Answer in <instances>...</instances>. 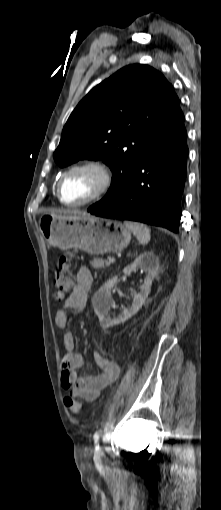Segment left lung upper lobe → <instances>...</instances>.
Segmentation results:
<instances>
[{"label": "left lung upper lobe", "mask_w": 221, "mask_h": 510, "mask_svg": "<svg viewBox=\"0 0 221 510\" xmlns=\"http://www.w3.org/2000/svg\"><path fill=\"white\" fill-rule=\"evenodd\" d=\"M184 115L172 85L156 69L129 65L95 86L71 113L53 154L67 166L103 160L112 172L108 203L130 183L146 154L182 131Z\"/></svg>", "instance_id": "5c2ea615"}]
</instances>
